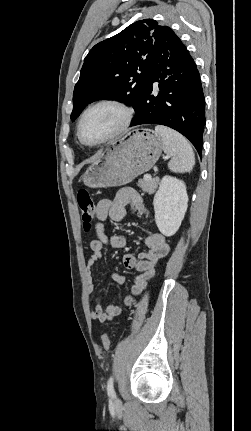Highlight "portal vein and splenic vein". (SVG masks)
Returning a JSON list of instances; mask_svg holds the SVG:
<instances>
[{"instance_id":"18ae733b","label":"portal vein and splenic vein","mask_w":251,"mask_h":431,"mask_svg":"<svg viewBox=\"0 0 251 431\" xmlns=\"http://www.w3.org/2000/svg\"><path fill=\"white\" fill-rule=\"evenodd\" d=\"M167 158V157H166ZM144 179L145 180H151V175L150 174H146L144 175Z\"/></svg>"}]
</instances>
